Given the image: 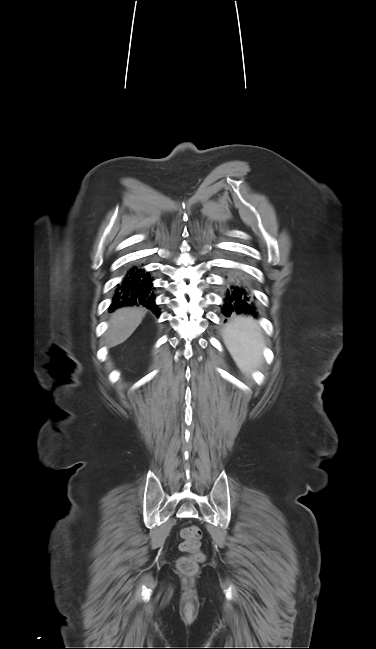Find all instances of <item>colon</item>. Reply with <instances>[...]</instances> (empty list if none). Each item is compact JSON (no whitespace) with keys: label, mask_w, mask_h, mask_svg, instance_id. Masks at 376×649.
Returning a JSON list of instances; mask_svg holds the SVG:
<instances>
[{"label":"colon","mask_w":376,"mask_h":649,"mask_svg":"<svg viewBox=\"0 0 376 649\" xmlns=\"http://www.w3.org/2000/svg\"><path fill=\"white\" fill-rule=\"evenodd\" d=\"M182 542L180 549L189 554L178 561V569L183 573H193L197 565L204 560V555L200 551V540L202 532L199 527L192 525L185 527L181 531Z\"/></svg>","instance_id":"colon-1"}]
</instances>
